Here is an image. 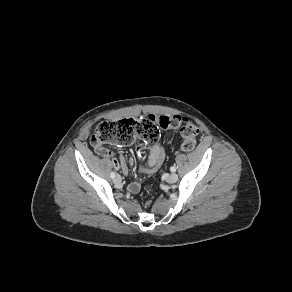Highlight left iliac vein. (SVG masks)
Segmentation results:
<instances>
[{
	"mask_svg": "<svg viewBox=\"0 0 292 292\" xmlns=\"http://www.w3.org/2000/svg\"><path fill=\"white\" fill-rule=\"evenodd\" d=\"M178 180V175L176 173H172L168 176L167 182L170 184L175 183Z\"/></svg>",
	"mask_w": 292,
	"mask_h": 292,
	"instance_id": "1",
	"label": "left iliac vein"
}]
</instances>
